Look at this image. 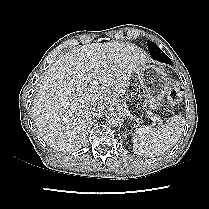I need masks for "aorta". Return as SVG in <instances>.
<instances>
[{
    "mask_svg": "<svg viewBox=\"0 0 209 209\" xmlns=\"http://www.w3.org/2000/svg\"><path fill=\"white\" fill-rule=\"evenodd\" d=\"M105 121L111 126H117L122 122V115L117 111L108 112L105 115Z\"/></svg>",
    "mask_w": 209,
    "mask_h": 209,
    "instance_id": "obj_1",
    "label": "aorta"
}]
</instances>
